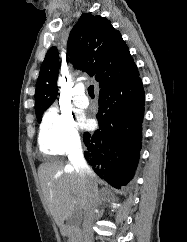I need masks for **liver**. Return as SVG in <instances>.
<instances>
[{"instance_id": "liver-1", "label": "liver", "mask_w": 187, "mask_h": 242, "mask_svg": "<svg viewBox=\"0 0 187 242\" xmlns=\"http://www.w3.org/2000/svg\"><path fill=\"white\" fill-rule=\"evenodd\" d=\"M38 175L47 208L57 226L62 227L74 213V201L84 209L90 180L80 177L71 164L62 161L41 164ZM93 180L97 183L95 175Z\"/></svg>"}]
</instances>
